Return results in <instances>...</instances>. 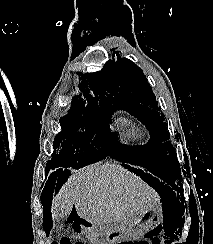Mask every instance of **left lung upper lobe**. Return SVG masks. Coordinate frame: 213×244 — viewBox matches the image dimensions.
Returning a JSON list of instances; mask_svg holds the SVG:
<instances>
[{
    "instance_id": "1",
    "label": "left lung upper lobe",
    "mask_w": 213,
    "mask_h": 244,
    "mask_svg": "<svg viewBox=\"0 0 213 244\" xmlns=\"http://www.w3.org/2000/svg\"><path fill=\"white\" fill-rule=\"evenodd\" d=\"M113 53L97 73L96 85L100 99L110 111L124 109L149 130L151 139L144 146L130 148L138 156L137 164L148 168L170 185L182 190V175L177 154L169 139L164 115L158 112V101L143 70L135 63Z\"/></svg>"
}]
</instances>
